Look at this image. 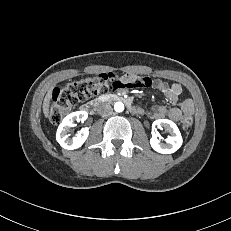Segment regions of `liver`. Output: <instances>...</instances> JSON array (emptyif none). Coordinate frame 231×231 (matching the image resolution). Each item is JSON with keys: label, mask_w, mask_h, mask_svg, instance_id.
<instances>
[{"label": "liver", "mask_w": 231, "mask_h": 231, "mask_svg": "<svg viewBox=\"0 0 231 231\" xmlns=\"http://www.w3.org/2000/svg\"><path fill=\"white\" fill-rule=\"evenodd\" d=\"M52 89H53V87H51V88L48 90V92H47V94H46V96H45V98H44V101H43V106H42V108H43L44 116H45L46 118H49V106H50V99H51V96H52Z\"/></svg>", "instance_id": "1"}]
</instances>
